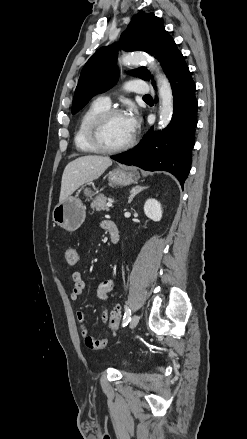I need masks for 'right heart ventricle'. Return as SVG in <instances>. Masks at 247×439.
<instances>
[{
    "label": "right heart ventricle",
    "mask_w": 247,
    "mask_h": 439,
    "mask_svg": "<svg viewBox=\"0 0 247 439\" xmlns=\"http://www.w3.org/2000/svg\"><path fill=\"white\" fill-rule=\"evenodd\" d=\"M107 109L108 106L96 100L83 112L74 134V144L77 150L83 153L99 152L89 141L88 130L92 120Z\"/></svg>",
    "instance_id": "e07e8e85"
}]
</instances>
